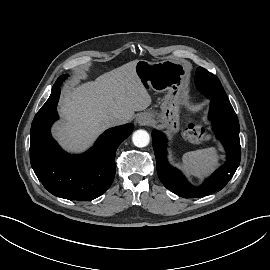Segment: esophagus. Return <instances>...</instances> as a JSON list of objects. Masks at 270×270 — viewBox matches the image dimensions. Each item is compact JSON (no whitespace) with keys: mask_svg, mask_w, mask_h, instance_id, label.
Here are the masks:
<instances>
[{"mask_svg":"<svg viewBox=\"0 0 270 270\" xmlns=\"http://www.w3.org/2000/svg\"><path fill=\"white\" fill-rule=\"evenodd\" d=\"M136 122L139 125H148L150 123V116L146 113H141L136 117Z\"/></svg>","mask_w":270,"mask_h":270,"instance_id":"34e87169","label":"esophagus"}]
</instances>
